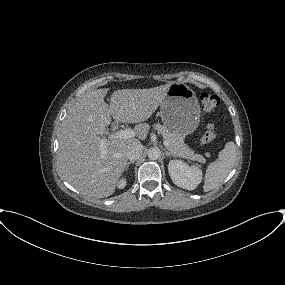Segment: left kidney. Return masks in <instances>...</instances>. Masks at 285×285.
I'll list each match as a JSON object with an SVG mask.
<instances>
[{"mask_svg":"<svg viewBox=\"0 0 285 285\" xmlns=\"http://www.w3.org/2000/svg\"><path fill=\"white\" fill-rule=\"evenodd\" d=\"M169 175L180 188L194 190L202 181V170L197 165L189 166L182 160H171L168 164Z\"/></svg>","mask_w":285,"mask_h":285,"instance_id":"left-kidney-1","label":"left kidney"}]
</instances>
